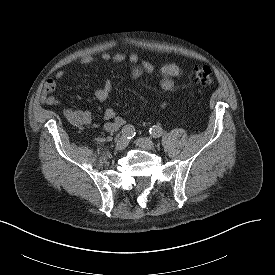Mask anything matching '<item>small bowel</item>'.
Returning <instances> with one entry per match:
<instances>
[{"instance_id": "small-bowel-1", "label": "small bowel", "mask_w": 275, "mask_h": 275, "mask_svg": "<svg viewBox=\"0 0 275 275\" xmlns=\"http://www.w3.org/2000/svg\"><path fill=\"white\" fill-rule=\"evenodd\" d=\"M101 60L104 62L114 61L118 63L125 62L126 60L129 61L131 64L135 65L131 73V77L133 79H138L144 73H152L154 71V66L150 62H140V59L136 54L126 56L122 53H103L101 55ZM97 61L98 58L95 56H86L80 61V66L84 67ZM159 72L162 76L160 86L164 91H171L175 85L174 80L183 76L182 69L174 63H167L162 65L159 69ZM66 74V70H60L56 73L54 78L48 79L45 82L41 96V99L44 103L48 105H60L62 103L61 99L53 95V92L56 89L57 82L66 76ZM111 90L112 82L110 79H107L104 85L96 91V99L100 102H105L109 98ZM63 116L70 124L76 127L86 126L90 124L92 120V113L88 110L66 109L63 111ZM104 120V128L108 132H115L125 124V119L121 116H118L112 108L105 110Z\"/></svg>"}]
</instances>
